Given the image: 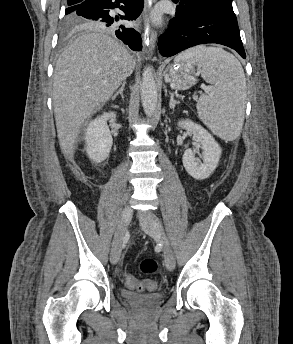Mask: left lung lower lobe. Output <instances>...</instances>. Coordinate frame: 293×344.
<instances>
[{
    "label": "left lung lower lobe",
    "instance_id": "obj_1",
    "mask_svg": "<svg viewBox=\"0 0 293 344\" xmlns=\"http://www.w3.org/2000/svg\"><path fill=\"white\" fill-rule=\"evenodd\" d=\"M175 3L178 0H173ZM176 18L170 22L173 32L159 38V50L163 58L171 57L187 48L199 44L217 43L237 51L246 58L239 30L220 18L205 13L194 4L178 3Z\"/></svg>",
    "mask_w": 293,
    "mask_h": 344
}]
</instances>
